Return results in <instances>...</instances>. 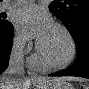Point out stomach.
<instances>
[{
  "mask_svg": "<svg viewBox=\"0 0 89 89\" xmlns=\"http://www.w3.org/2000/svg\"><path fill=\"white\" fill-rule=\"evenodd\" d=\"M37 89H75L70 83H47L45 85L37 87Z\"/></svg>",
  "mask_w": 89,
  "mask_h": 89,
  "instance_id": "0dacf381",
  "label": "stomach"
}]
</instances>
